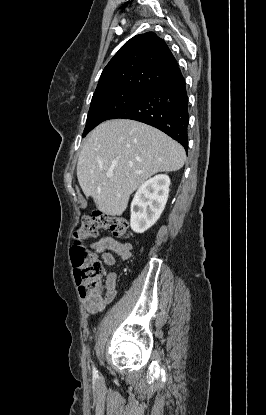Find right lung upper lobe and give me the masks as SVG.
Here are the masks:
<instances>
[{
    "mask_svg": "<svg viewBox=\"0 0 266 415\" xmlns=\"http://www.w3.org/2000/svg\"><path fill=\"white\" fill-rule=\"evenodd\" d=\"M180 75L165 41L147 32L134 36L119 49L104 68L94 94L120 88L150 91Z\"/></svg>",
    "mask_w": 266,
    "mask_h": 415,
    "instance_id": "cb5924a9",
    "label": "right lung upper lobe"
}]
</instances>
